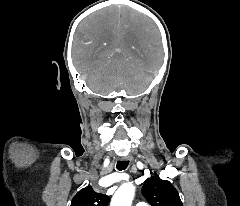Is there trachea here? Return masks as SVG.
<instances>
[{"instance_id":"3493384b","label":"trachea","mask_w":240,"mask_h":206,"mask_svg":"<svg viewBox=\"0 0 240 206\" xmlns=\"http://www.w3.org/2000/svg\"><path fill=\"white\" fill-rule=\"evenodd\" d=\"M128 164H129V161H118L116 167L118 170H124L127 168Z\"/></svg>"}]
</instances>
